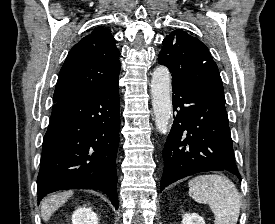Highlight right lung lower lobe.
I'll use <instances>...</instances> for the list:
<instances>
[{"label": "right lung lower lobe", "instance_id": "obj_1", "mask_svg": "<svg viewBox=\"0 0 275 224\" xmlns=\"http://www.w3.org/2000/svg\"><path fill=\"white\" fill-rule=\"evenodd\" d=\"M119 108L118 84L53 105L37 177L38 203L58 190L97 189L118 209Z\"/></svg>", "mask_w": 275, "mask_h": 224}]
</instances>
